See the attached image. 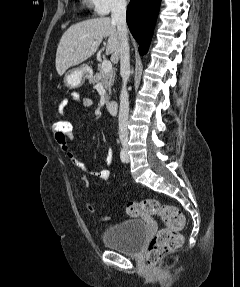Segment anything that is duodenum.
Here are the masks:
<instances>
[{
    "label": "duodenum",
    "instance_id": "obj_1",
    "mask_svg": "<svg viewBox=\"0 0 240 287\" xmlns=\"http://www.w3.org/2000/svg\"><path fill=\"white\" fill-rule=\"evenodd\" d=\"M106 106L111 114H115L117 112L118 102L115 99H111L107 102Z\"/></svg>",
    "mask_w": 240,
    "mask_h": 287
}]
</instances>
